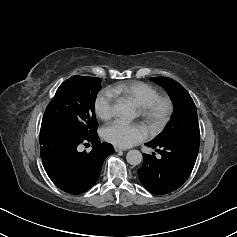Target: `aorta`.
I'll use <instances>...</instances> for the list:
<instances>
[{"label": "aorta", "instance_id": "1", "mask_svg": "<svg viewBox=\"0 0 237 237\" xmlns=\"http://www.w3.org/2000/svg\"><path fill=\"white\" fill-rule=\"evenodd\" d=\"M114 109L116 113L126 121H131L135 117L133 109L127 103H117ZM126 159L129 164L136 166L141 163L143 156L138 150H130L126 155Z\"/></svg>", "mask_w": 237, "mask_h": 237}]
</instances>
